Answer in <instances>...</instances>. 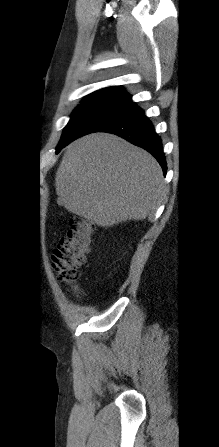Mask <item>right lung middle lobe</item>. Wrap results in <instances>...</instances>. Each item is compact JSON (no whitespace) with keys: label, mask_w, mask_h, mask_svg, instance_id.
Segmentation results:
<instances>
[{"label":"right lung middle lobe","mask_w":219,"mask_h":447,"mask_svg":"<svg viewBox=\"0 0 219 447\" xmlns=\"http://www.w3.org/2000/svg\"><path fill=\"white\" fill-rule=\"evenodd\" d=\"M138 108L131 96L112 89L89 94L73 112L57 146L59 152L73 140L97 131L103 125Z\"/></svg>","instance_id":"1"}]
</instances>
